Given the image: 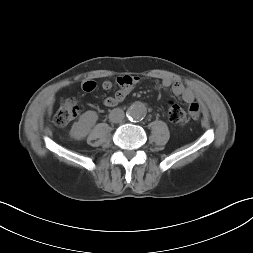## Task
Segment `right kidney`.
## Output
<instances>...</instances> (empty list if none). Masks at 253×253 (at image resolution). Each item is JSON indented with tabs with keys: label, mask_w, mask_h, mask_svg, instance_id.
I'll use <instances>...</instances> for the list:
<instances>
[{
	"label": "right kidney",
	"mask_w": 253,
	"mask_h": 253,
	"mask_svg": "<svg viewBox=\"0 0 253 253\" xmlns=\"http://www.w3.org/2000/svg\"><path fill=\"white\" fill-rule=\"evenodd\" d=\"M97 120L98 115L95 111L85 112L81 115L79 121L73 124L70 136L77 140L85 138Z\"/></svg>",
	"instance_id": "ca27d5eb"
}]
</instances>
